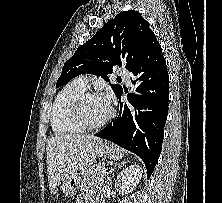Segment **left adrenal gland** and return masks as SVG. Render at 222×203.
<instances>
[{
  "instance_id": "1",
  "label": "left adrenal gland",
  "mask_w": 222,
  "mask_h": 203,
  "mask_svg": "<svg viewBox=\"0 0 222 203\" xmlns=\"http://www.w3.org/2000/svg\"><path fill=\"white\" fill-rule=\"evenodd\" d=\"M128 161L127 160H123L122 162H118L116 164L113 165V167L110 168V170L106 173V179H105V183H109L110 181V174L118 167H121L122 165L126 164Z\"/></svg>"
}]
</instances>
